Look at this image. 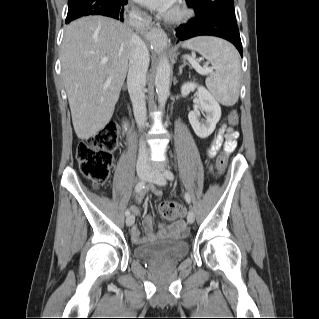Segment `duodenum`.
I'll use <instances>...</instances> for the list:
<instances>
[{
  "label": "duodenum",
  "mask_w": 319,
  "mask_h": 319,
  "mask_svg": "<svg viewBox=\"0 0 319 319\" xmlns=\"http://www.w3.org/2000/svg\"><path fill=\"white\" fill-rule=\"evenodd\" d=\"M122 128H123L124 133L127 134L128 133V123H127V121H123L122 122Z\"/></svg>",
  "instance_id": "obj_1"
}]
</instances>
